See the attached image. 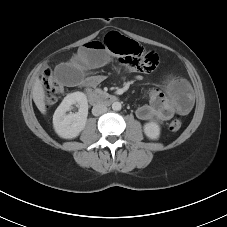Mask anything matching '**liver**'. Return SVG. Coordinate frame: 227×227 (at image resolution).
Masks as SVG:
<instances>
[{"instance_id":"obj_1","label":"liver","mask_w":227,"mask_h":227,"mask_svg":"<svg viewBox=\"0 0 227 227\" xmlns=\"http://www.w3.org/2000/svg\"><path fill=\"white\" fill-rule=\"evenodd\" d=\"M32 97L39 111L42 114H45L46 113L45 91L43 88V81L39 77L36 78L35 83L32 87Z\"/></svg>"}]
</instances>
